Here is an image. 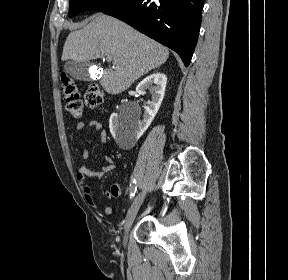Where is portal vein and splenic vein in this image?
I'll return each mask as SVG.
<instances>
[{
  "mask_svg": "<svg viewBox=\"0 0 288 280\" xmlns=\"http://www.w3.org/2000/svg\"><path fill=\"white\" fill-rule=\"evenodd\" d=\"M106 60L110 62L112 59H111V57L107 56Z\"/></svg>",
  "mask_w": 288,
  "mask_h": 280,
  "instance_id": "1",
  "label": "portal vein and splenic vein"
}]
</instances>
